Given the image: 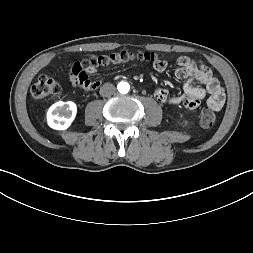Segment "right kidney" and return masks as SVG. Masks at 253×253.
<instances>
[{
    "mask_svg": "<svg viewBox=\"0 0 253 253\" xmlns=\"http://www.w3.org/2000/svg\"><path fill=\"white\" fill-rule=\"evenodd\" d=\"M76 112L77 106L74 102H56L47 112L48 125L56 130H65L73 122Z\"/></svg>",
    "mask_w": 253,
    "mask_h": 253,
    "instance_id": "right-kidney-1",
    "label": "right kidney"
}]
</instances>
